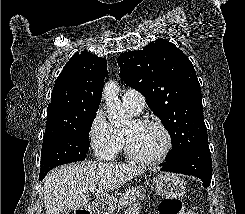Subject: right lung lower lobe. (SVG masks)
Listing matches in <instances>:
<instances>
[{
    "mask_svg": "<svg viewBox=\"0 0 245 214\" xmlns=\"http://www.w3.org/2000/svg\"><path fill=\"white\" fill-rule=\"evenodd\" d=\"M46 175L39 176V180H42Z\"/></svg>",
    "mask_w": 245,
    "mask_h": 214,
    "instance_id": "obj_1",
    "label": "right lung lower lobe"
}]
</instances>
